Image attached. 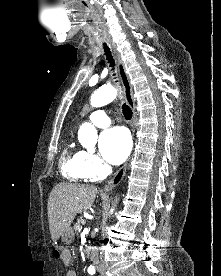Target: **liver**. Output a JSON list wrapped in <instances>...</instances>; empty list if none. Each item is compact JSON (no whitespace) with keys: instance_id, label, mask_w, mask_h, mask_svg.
<instances>
[{"instance_id":"6515ba94","label":"liver","mask_w":221,"mask_h":276,"mask_svg":"<svg viewBox=\"0 0 221 276\" xmlns=\"http://www.w3.org/2000/svg\"><path fill=\"white\" fill-rule=\"evenodd\" d=\"M97 192L95 186L72 183H60L52 189L47 209L53 241H57L70 228L77 214L93 205Z\"/></svg>"}]
</instances>
